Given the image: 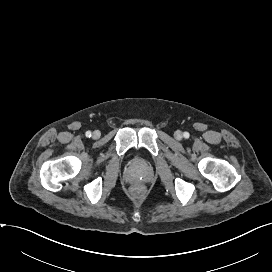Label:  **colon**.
Wrapping results in <instances>:
<instances>
[{
  "mask_svg": "<svg viewBox=\"0 0 272 272\" xmlns=\"http://www.w3.org/2000/svg\"><path fill=\"white\" fill-rule=\"evenodd\" d=\"M142 192V188L140 186H135L133 188V193L139 195Z\"/></svg>",
  "mask_w": 272,
  "mask_h": 272,
  "instance_id": "1",
  "label": "colon"
}]
</instances>
